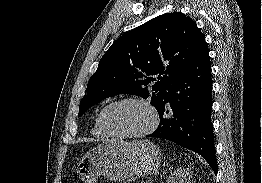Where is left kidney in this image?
Masks as SVG:
<instances>
[{
  "mask_svg": "<svg viewBox=\"0 0 262 183\" xmlns=\"http://www.w3.org/2000/svg\"><path fill=\"white\" fill-rule=\"evenodd\" d=\"M191 171L189 168H177L166 180V183H191Z\"/></svg>",
  "mask_w": 262,
  "mask_h": 183,
  "instance_id": "left-kidney-1",
  "label": "left kidney"
}]
</instances>
